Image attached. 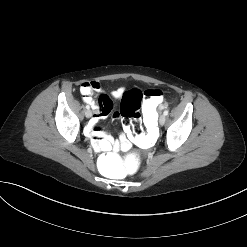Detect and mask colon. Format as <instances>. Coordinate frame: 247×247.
I'll list each match as a JSON object with an SVG mask.
<instances>
[{
  "mask_svg": "<svg viewBox=\"0 0 247 247\" xmlns=\"http://www.w3.org/2000/svg\"><path fill=\"white\" fill-rule=\"evenodd\" d=\"M163 93L158 89H148L141 92L132 89L124 93L120 115L123 118L125 128L134 143L141 147H151L159 136V122L156 118V111L162 105ZM146 119V132L143 133L142 118L140 109ZM98 169L107 177L114 179L133 177L142 169V158L136 152H125L122 154L116 151H105L98 158Z\"/></svg>",
  "mask_w": 247,
  "mask_h": 247,
  "instance_id": "colon-1",
  "label": "colon"
}]
</instances>
